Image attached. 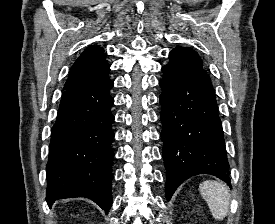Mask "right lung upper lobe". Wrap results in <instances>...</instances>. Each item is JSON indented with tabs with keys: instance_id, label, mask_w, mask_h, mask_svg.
<instances>
[{
	"instance_id": "right-lung-upper-lobe-1",
	"label": "right lung upper lobe",
	"mask_w": 275,
	"mask_h": 224,
	"mask_svg": "<svg viewBox=\"0 0 275 224\" xmlns=\"http://www.w3.org/2000/svg\"><path fill=\"white\" fill-rule=\"evenodd\" d=\"M99 46H89L73 64L63 90L90 84L108 77L110 65Z\"/></svg>"
}]
</instances>
